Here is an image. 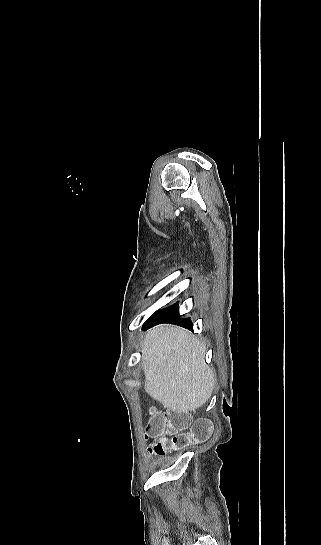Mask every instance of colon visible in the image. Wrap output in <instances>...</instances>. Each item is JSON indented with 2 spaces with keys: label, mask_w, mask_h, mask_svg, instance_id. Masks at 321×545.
Returning <instances> with one entry per match:
<instances>
[{
  "label": "colon",
  "mask_w": 321,
  "mask_h": 545,
  "mask_svg": "<svg viewBox=\"0 0 321 545\" xmlns=\"http://www.w3.org/2000/svg\"><path fill=\"white\" fill-rule=\"evenodd\" d=\"M189 424L187 412L152 410L146 427V436L151 440L150 452L165 455L202 443L211 436L212 424L209 420L199 419L187 430Z\"/></svg>",
  "instance_id": "obj_1"
}]
</instances>
